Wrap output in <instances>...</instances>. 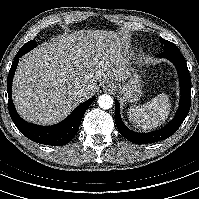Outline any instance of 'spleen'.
I'll return each instance as SVG.
<instances>
[{
    "instance_id": "3e777b00",
    "label": "spleen",
    "mask_w": 199,
    "mask_h": 199,
    "mask_svg": "<svg viewBox=\"0 0 199 199\" xmlns=\"http://www.w3.org/2000/svg\"><path fill=\"white\" fill-rule=\"evenodd\" d=\"M170 107L168 95L159 94L146 104L130 108L127 113L129 120L137 127L149 130L160 126L167 119Z\"/></svg>"
}]
</instances>
